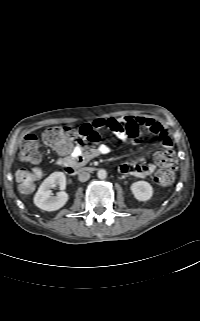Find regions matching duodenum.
Listing matches in <instances>:
<instances>
[{
    "label": "duodenum",
    "mask_w": 200,
    "mask_h": 321,
    "mask_svg": "<svg viewBox=\"0 0 200 321\" xmlns=\"http://www.w3.org/2000/svg\"><path fill=\"white\" fill-rule=\"evenodd\" d=\"M95 168L93 167H85L82 165H75V166H70L66 168V172L69 174H76V173H82V172H91L94 171Z\"/></svg>",
    "instance_id": "obj_1"
}]
</instances>
